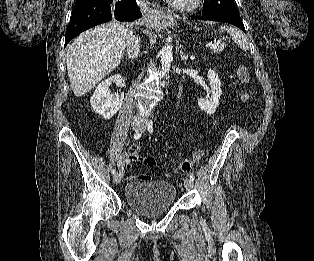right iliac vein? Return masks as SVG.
<instances>
[{
	"label": "right iliac vein",
	"mask_w": 314,
	"mask_h": 261,
	"mask_svg": "<svg viewBox=\"0 0 314 261\" xmlns=\"http://www.w3.org/2000/svg\"><path fill=\"white\" fill-rule=\"evenodd\" d=\"M131 127L133 130L137 131L141 128V124H140V122L135 120L132 122ZM113 182L115 184H119L121 182V176L119 174L114 175Z\"/></svg>",
	"instance_id": "1"
}]
</instances>
